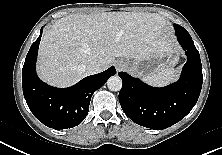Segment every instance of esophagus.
<instances>
[{
  "mask_svg": "<svg viewBox=\"0 0 222 155\" xmlns=\"http://www.w3.org/2000/svg\"><path fill=\"white\" fill-rule=\"evenodd\" d=\"M117 71L121 70L124 67V63L122 61H117L115 64Z\"/></svg>",
  "mask_w": 222,
  "mask_h": 155,
  "instance_id": "esophagus-1",
  "label": "esophagus"
}]
</instances>
